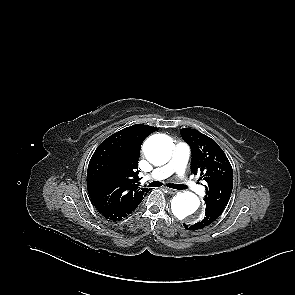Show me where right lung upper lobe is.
<instances>
[{"instance_id":"obj_1","label":"right lung upper lobe","mask_w":295,"mask_h":295,"mask_svg":"<svg viewBox=\"0 0 295 295\" xmlns=\"http://www.w3.org/2000/svg\"><path fill=\"white\" fill-rule=\"evenodd\" d=\"M156 127L136 124L108 137L95 150L87 171V189L95 205L117 208L145 196L139 187L138 156L143 140Z\"/></svg>"}]
</instances>
